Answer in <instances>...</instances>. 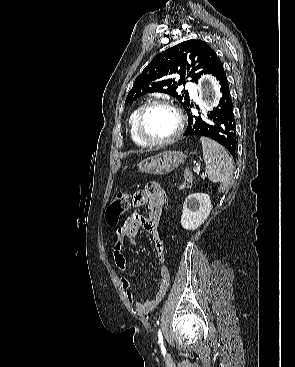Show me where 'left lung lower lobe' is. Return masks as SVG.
Segmentation results:
<instances>
[{"instance_id":"left-lung-lower-lobe-1","label":"left lung lower lobe","mask_w":295,"mask_h":367,"mask_svg":"<svg viewBox=\"0 0 295 367\" xmlns=\"http://www.w3.org/2000/svg\"><path fill=\"white\" fill-rule=\"evenodd\" d=\"M212 75L216 77L221 86L218 106L211 111L208 118L197 116L187 109L188 126L184 135L204 136L211 138L223 145L234 157L236 151V124L233 105L226 73L220 61L215 65Z\"/></svg>"}]
</instances>
